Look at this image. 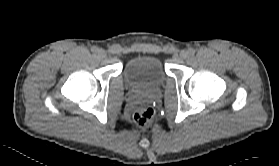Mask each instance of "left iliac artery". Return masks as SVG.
I'll return each instance as SVG.
<instances>
[{"instance_id": "44dca946", "label": "left iliac artery", "mask_w": 279, "mask_h": 166, "mask_svg": "<svg viewBox=\"0 0 279 166\" xmlns=\"http://www.w3.org/2000/svg\"><path fill=\"white\" fill-rule=\"evenodd\" d=\"M188 52H189L191 55H193V54L195 53V49L190 48V49L188 50Z\"/></svg>"}]
</instances>
